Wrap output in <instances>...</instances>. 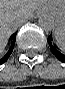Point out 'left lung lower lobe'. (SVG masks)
Listing matches in <instances>:
<instances>
[{"mask_svg":"<svg viewBox=\"0 0 65 89\" xmlns=\"http://www.w3.org/2000/svg\"><path fill=\"white\" fill-rule=\"evenodd\" d=\"M47 41H48V44H49V46H50L51 52L56 56V58H57L58 60H60V61H62V62L65 63V54H64V52H63V53L59 52V51L52 45L51 37H50V36L48 37V40H47Z\"/></svg>","mask_w":65,"mask_h":89,"instance_id":"obj_1","label":"left lung lower lobe"}]
</instances>
